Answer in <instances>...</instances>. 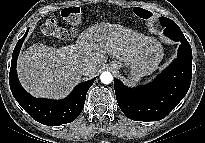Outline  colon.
Masks as SVG:
<instances>
[{
  "instance_id": "1",
  "label": "colon",
  "mask_w": 205,
  "mask_h": 143,
  "mask_svg": "<svg viewBox=\"0 0 205 143\" xmlns=\"http://www.w3.org/2000/svg\"><path fill=\"white\" fill-rule=\"evenodd\" d=\"M134 14L142 19H148L152 13L144 8L136 7L133 9ZM61 17L70 26L69 29L61 27L55 19H46L42 24L44 34L59 40H70L75 36L76 27L81 23V9L78 6L65 7L61 11Z\"/></svg>"
}]
</instances>
